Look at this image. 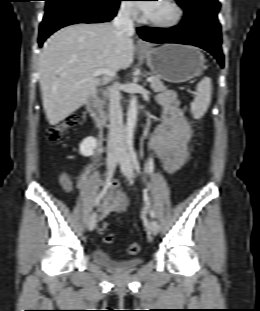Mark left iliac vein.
I'll list each match as a JSON object with an SVG mask.
<instances>
[{"mask_svg": "<svg viewBox=\"0 0 260 311\" xmlns=\"http://www.w3.org/2000/svg\"><path fill=\"white\" fill-rule=\"evenodd\" d=\"M118 163L121 166L122 172L125 175V177L132 182L134 179V165L131 159V155L128 151V148L125 144H121L119 146V152H118ZM149 230L153 235H157L160 230V226L156 220H152L149 226Z\"/></svg>", "mask_w": 260, "mask_h": 311, "instance_id": "4c4485c4", "label": "left iliac vein"}]
</instances>
